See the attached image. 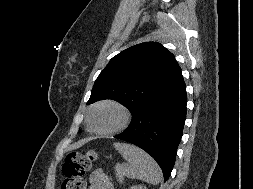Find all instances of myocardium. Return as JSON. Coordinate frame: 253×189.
<instances>
[{
  "label": "myocardium",
  "instance_id": "obj_1",
  "mask_svg": "<svg viewBox=\"0 0 253 189\" xmlns=\"http://www.w3.org/2000/svg\"><path fill=\"white\" fill-rule=\"evenodd\" d=\"M105 106H110V107L117 109L121 115V121L116 127L112 128L110 130L100 131V130L95 129L92 126V115L97 109H99L101 107H105ZM129 121H130V114H129V111L126 109V107H124L119 102H116L113 100H104V101H101V102L95 104L93 107L90 108V110L87 114V119H86L88 129L92 133H94L96 135H100V136H110V135H114V134H117V133L123 131L128 126Z\"/></svg>",
  "mask_w": 253,
  "mask_h": 189
}]
</instances>
